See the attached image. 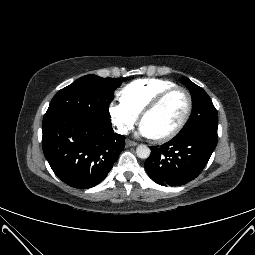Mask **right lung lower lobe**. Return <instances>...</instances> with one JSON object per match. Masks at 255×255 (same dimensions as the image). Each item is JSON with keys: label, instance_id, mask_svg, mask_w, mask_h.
<instances>
[{"label": "right lung lower lobe", "instance_id": "right-lung-lower-lobe-1", "mask_svg": "<svg viewBox=\"0 0 255 255\" xmlns=\"http://www.w3.org/2000/svg\"><path fill=\"white\" fill-rule=\"evenodd\" d=\"M42 147L57 177L71 187L87 189L105 179L124 149L125 137L78 116L43 120Z\"/></svg>", "mask_w": 255, "mask_h": 255}]
</instances>
